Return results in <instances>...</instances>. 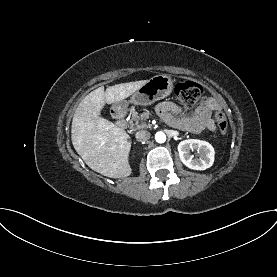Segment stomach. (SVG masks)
I'll return each instance as SVG.
<instances>
[{
  "label": "stomach",
  "mask_w": 277,
  "mask_h": 277,
  "mask_svg": "<svg viewBox=\"0 0 277 277\" xmlns=\"http://www.w3.org/2000/svg\"><path fill=\"white\" fill-rule=\"evenodd\" d=\"M172 89L173 80L170 76L165 74L156 75L134 92L128 102H118L115 106L121 107L129 102L136 105H148L168 96L172 92Z\"/></svg>",
  "instance_id": "0dacf381"
}]
</instances>
